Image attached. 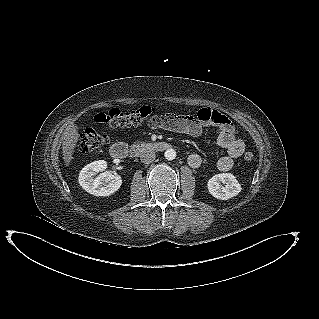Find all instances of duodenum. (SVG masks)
<instances>
[{"label": "duodenum", "instance_id": "410a0bca", "mask_svg": "<svg viewBox=\"0 0 319 319\" xmlns=\"http://www.w3.org/2000/svg\"><path fill=\"white\" fill-rule=\"evenodd\" d=\"M168 148L169 144L166 142L146 141L134 144L132 147H128L125 143H115L110 148V155L114 159L123 160L130 154L138 156L149 152L164 151Z\"/></svg>", "mask_w": 319, "mask_h": 319}]
</instances>
